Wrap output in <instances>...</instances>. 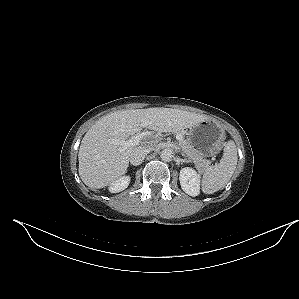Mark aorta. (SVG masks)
Returning a JSON list of instances; mask_svg holds the SVG:
<instances>
[{
  "label": "aorta",
  "mask_w": 299,
  "mask_h": 299,
  "mask_svg": "<svg viewBox=\"0 0 299 299\" xmlns=\"http://www.w3.org/2000/svg\"><path fill=\"white\" fill-rule=\"evenodd\" d=\"M160 157L164 162H170L174 158V150L171 148H165L162 150Z\"/></svg>",
  "instance_id": "1"
}]
</instances>
